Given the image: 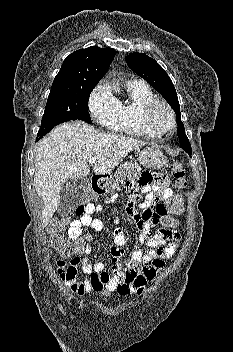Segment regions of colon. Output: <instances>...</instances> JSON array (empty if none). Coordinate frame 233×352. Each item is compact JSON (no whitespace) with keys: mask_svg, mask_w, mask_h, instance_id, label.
Wrapping results in <instances>:
<instances>
[{"mask_svg":"<svg viewBox=\"0 0 233 352\" xmlns=\"http://www.w3.org/2000/svg\"><path fill=\"white\" fill-rule=\"evenodd\" d=\"M172 175L175 179L176 187L178 189H183L187 185L186 172L183 165L176 162L172 167ZM91 198V194L87 193L84 195V200ZM183 202L179 194L173 196L168 204L165 206L160 204L157 206V210L162 216V225L166 229H170L176 225V220L174 216L182 212ZM84 212V206H79L76 209V214L81 215ZM64 221L54 220L48 226V234L51 247L63 257H71L75 254L82 252L83 243L72 241L63 235L64 231ZM58 273L62 278L67 275V265L64 260H59L57 262ZM106 275H100L92 272L89 276L92 291L102 295H108L109 291L105 289L104 285L107 281ZM145 289V286L137 287L134 292L136 294H141Z\"/></svg>","mask_w":233,"mask_h":352,"instance_id":"1","label":"colon"}]
</instances>
